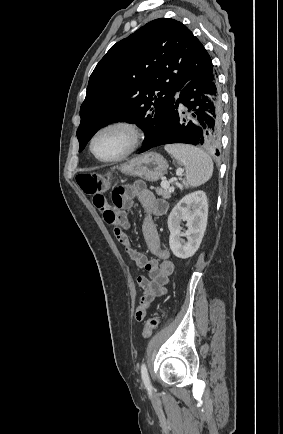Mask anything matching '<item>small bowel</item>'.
<instances>
[{"label": "small bowel", "mask_w": 283, "mask_h": 434, "mask_svg": "<svg viewBox=\"0 0 283 434\" xmlns=\"http://www.w3.org/2000/svg\"><path fill=\"white\" fill-rule=\"evenodd\" d=\"M135 199L145 211L142 230L147 247L154 255L153 258L137 251L126 233L129 228V221L124 210L133 207ZM92 201L94 206L103 214L106 223L113 226L115 237L125 253L149 275V278L145 276L137 278L142 296L135 311V319L141 321L153 302L165 294L169 276L174 270V264L170 260V251L161 246L154 223L155 217L163 216L167 212L168 204L165 200L156 198L141 181L115 188L111 195V204L102 192L92 196Z\"/></svg>", "instance_id": "c3829d8e"}]
</instances>
